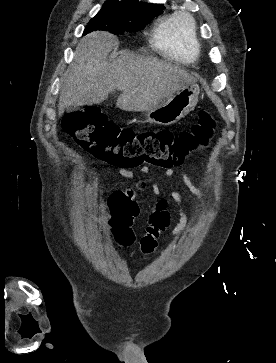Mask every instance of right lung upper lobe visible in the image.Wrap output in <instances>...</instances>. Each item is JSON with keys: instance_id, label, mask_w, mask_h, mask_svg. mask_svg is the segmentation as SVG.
<instances>
[{"instance_id": "1", "label": "right lung upper lobe", "mask_w": 276, "mask_h": 363, "mask_svg": "<svg viewBox=\"0 0 276 363\" xmlns=\"http://www.w3.org/2000/svg\"><path fill=\"white\" fill-rule=\"evenodd\" d=\"M105 4L116 5V6L144 5V6L157 7V8L163 7V5H157V4H144V3H139L137 1H118V0H109Z\"/></svg>"}]
</instances>
